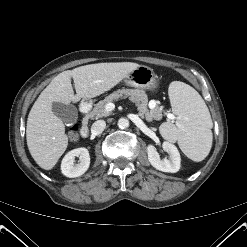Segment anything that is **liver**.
<instances>
[{"label":"liver","mask_w":247,"mask_h":247,"mask_svg":"<svg viewBox=\"0 0 247 247\" xmlns=\"http://www.w3.org/2000/svg\"><path fill=\"white\" fill-rule=\"evenodd\" d=\"M139 66L132 62L97 63L58 74L41 92L28 115L26 140L35 162L42 169L51 170L68 146L65 126L52 111L54 102L70 104L81 98L97 97L116 86Z\"/></svg>","instance_id":"obj_1"}]
</instances>
